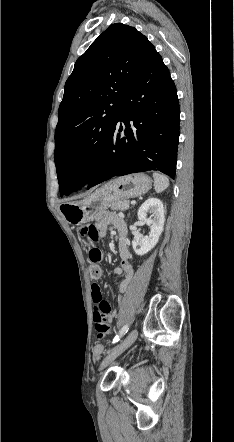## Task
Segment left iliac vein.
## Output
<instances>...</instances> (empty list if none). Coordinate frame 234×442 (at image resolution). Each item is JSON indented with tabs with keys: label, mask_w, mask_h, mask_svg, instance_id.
<instances>
[{
	"label": "left iliac vein",
	"mask_w": 234,
	"mask_h": 442,
	"mask_svg": "<svg viewBox=\"0 0 234 442\" xmlns=\"http://www.w3.org/2000/svg\"><path fill=\"white\" fill-rule=\"evenodd\" d=\"M138 331L133 329L126 338L118 344L102 361L101 369L105 368L110 364L115 358H117L121 353H123L127 348H129L137 339Z\"/></svg>",
	"instance_id": "obj_1"
}]
</instances>
